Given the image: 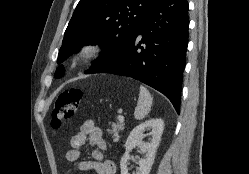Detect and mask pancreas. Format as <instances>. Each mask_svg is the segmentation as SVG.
Returning a JSON list of instances; mask_svg holds the SVG:
<instances>
[{"label":"pancreas","mask_w":249,"mask_h":174,"mask_svg":"<svg viewBox=\"0 0 249 174\" xmlns=\"http://www.w3.org/2000/svg\"><path fill=\"white\" fill-rule=\"evenodd\" d=\"M124 130V125L122 123L112 124V128L108 129L109 134L112 135L113 141L117 142L119 140V133Z\"/></svg>","instance_id":"1"}]
</instances>
